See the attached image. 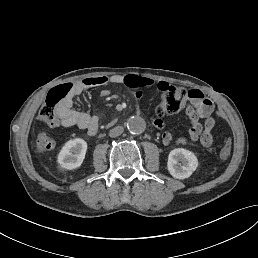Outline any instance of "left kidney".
I'll list each match as a JSON object with an SVG mask.
<instances>
[{
  "label": "left kidney",
  "mask_w": 258,
  "mask_h": 258,
  "mask_svg": "<svg viewBox=\"0 0 258 258\" xmlns=\"http://www.w3.org/2000/svg\"><path fill=\"white\" fill-rule=\"evenodd\" d=\"M197 167V158L188 150L175 149L168 157V168L171 175L178 179L189 177Z\"/></svg>",
  "instance_id": "5707ae66"
}]
</instances>
